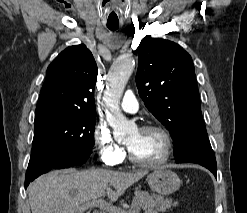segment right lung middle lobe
<instances>
[{"mask_svg": "<svg viewBox=\"0 0 247 213\" xmlns=\"http://www.w3.org/2000/svg\"><path fill=\"white\" fill-rule=\"evenodd\" d=\"M96 113L46 112L35 115L30 161L52 150L69 156L91 152Z\"/></svg>", "mask_w": 247, "mask_h": 213, "instance_id": "dd1d6c3e", "label": "right lung middle lobe"}]
</instances>
